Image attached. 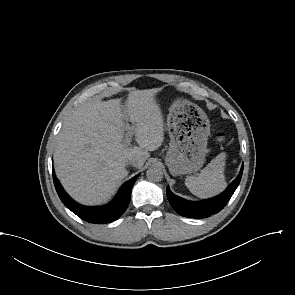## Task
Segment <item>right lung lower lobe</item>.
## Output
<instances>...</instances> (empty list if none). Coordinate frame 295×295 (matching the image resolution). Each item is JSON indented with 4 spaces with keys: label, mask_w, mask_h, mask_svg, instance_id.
<instances>
[{
    "label": "right lung lower lobe",
    "mask_w": 295,
    "mask_h": 295,
    "mask_svg": "<svg viewBox=\"0 0 295 295\" xmlns=\"http://www.w3.org/2000/svg\"><path fill=\"white\" fill-rule=\"evenodd\" d=\"M53 181L56 191L63 204L81 219L95 224L110 223L117 220L126 210L130 199L132 187L139 174L124 183L111 202L104 206L89 207L75 202L63 189L56 178L52 165Z\"/></svg>",
    "instance_id": "right-lung-lower-lobe-1"
}]
</instances>
